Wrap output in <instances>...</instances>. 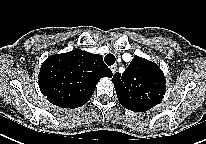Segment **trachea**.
<instances>
[{"label":"trachea","instance_id":"trachea-1","mask_svg":"<svg viewBox=\"0 0 206 144\" xmlns=\"http://www.w3.org/2000/svg\"><path fill=\"white\" fill-rule=\"evenodd\" d=\"M115 60L116 58L113 54H107L104 58V61L108 66L113 65L115 63Z\"/></svg>","mask_w":206,"mask_h":144}]
</instances>
